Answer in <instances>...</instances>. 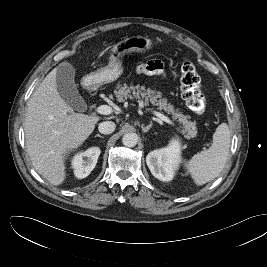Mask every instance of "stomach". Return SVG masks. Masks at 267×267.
I'll return each mask as SVG.
<instances>
[{
  "label": "stomach",
  "mask_w": 267,
  "mask_h": 267,
  "mask_svg": "<svg viewBox=\"0 0 267 267\" xmlns=\"http://www.w3.org/2000/svg\"><path fill=\"white\" fill-rule=\"evenodd\" d=\"M152 41L143 36H132L121 40L113 46L108 64L85 77L87 85L99 87L117 80L123 73L122 58L132 52H145L152 49Z\"/></svg>",
  "instance_id": "0dacf381"
}]
</instances>
